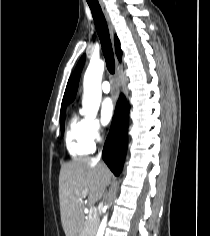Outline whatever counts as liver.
<instances>
[{"mask_svg": "<svg viewBox=\"0 0 210 236\" xmlns=\"http://www.w3.org/2000/svg\"><path fill=\"white\" fill-rule=\"evenodd\" d=\"M112 178L103 162L76 158L62 165L59 175V201L62 227L66 236H82L84 199L98 202Z\"/></svg>", "mask_w": 210, "mask_h": 236, "instance_id": "1", "label": "liver"}]
</instances>
